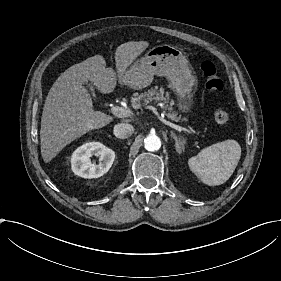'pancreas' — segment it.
<instances>
[{
    "label": "pancreas",
    "instance_id": "obj_1",
    "mask_svg": "<svg viewBox=\"0 0 281 281\" xmlns=\"http://www.w3.org/2000/svg\"><path fill=\"white\" fill-rule=\"evenodd\" d=\"M131 107L133 109L141 108V101H143V105L149 104L150 102L154 103H164V109H168L167 117L173 119L175 121H187V117L178 116L179 110L174 111L173 104L174 100L169 98V93H164L163 90H158V86L147 89V91L138 93H133V96L130 97Z\"/></svg>",
    "mask_w": 281,
    "mask_h": 281
}]
</instances>
